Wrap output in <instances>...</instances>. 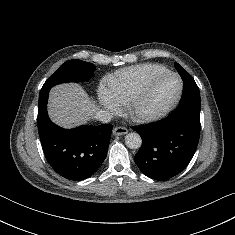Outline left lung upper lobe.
<instances>
[{"label":"left lung upper lobe","mask_w":235,"mask_h":235,"mask_svg":"<svg viewBox=\"0 0 235 235\" xmlns=\"http://www.w3.org/2000/svg\"><path fill=\"white\" fill-rule=\"evenodd\" d=\"M175 67L178 73L180 74L182 80L190 83V88L186 90L184 89L183 91V97L180 105L187 103H194L201 105L199 88L196 82L194 81L193 77L178 63L175 64Z\"/></svg>","instance_id":"1"}]
</instances>
